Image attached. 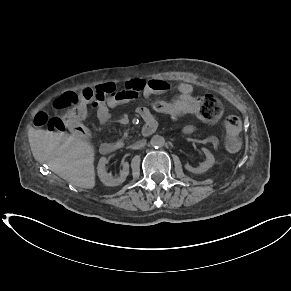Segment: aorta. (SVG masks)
I'll return each instance as SVG.
<instances>
[{"instance_id":"1","label":"aorta","mask_w":291,"mask_h":291,"mask_svg":"<svg viewBox=\"0 0 291 291\" xmlns=\"http://www.w3.org/2000/svg\"><path fill=\"white\" fill-rule=\"evenodd\" d=\"M150 144L154 147H162L165 144V139L163 136L156 134L151 138Z\"/></svg>"}]
</instances>
